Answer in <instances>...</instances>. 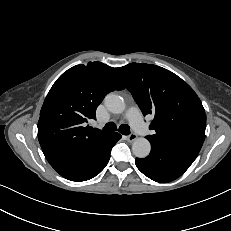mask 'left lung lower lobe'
Returning a JSON list of instances; mask_svg holds the SVG:
<instances>
[{
    "mask_svg": "<svg viewBox=\"0 0 231 231\" xmlns=\"http://www.w3.org/2000/svg\"><path fill=\"white\" fill-rule=\"evenodd\" d=\"M198 153L184 147L151 144L150 155L145 159L136 158L135 164L148 178L167 183L180 177Z\"/></svg>",
    "mask_w": 231,
    "mask_h": 231,
    "instance_id": "0a47b994",
    "label": "left lung lower lobe"
}]
</instances>
